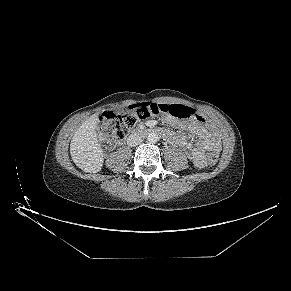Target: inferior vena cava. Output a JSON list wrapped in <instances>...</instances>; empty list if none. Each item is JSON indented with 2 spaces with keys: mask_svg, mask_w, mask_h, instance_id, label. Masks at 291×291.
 <instances>
[{
  "mask_svg": "<svg viewBox=\"0 0 291 291\" xmlns=\"http://www.w3.org/2000/svg\"><path fill=\"white\" fill-rule=\"evenodd\" d=\"M142 143V139L139 137L130 136L127 140L129 146H137Z\"/></svg>",
  "mask_w": 291,
  "mask_h": 291,
  "instance_id": "602c4592",
  "label": "inferior vena cava"
}]
</instances>
